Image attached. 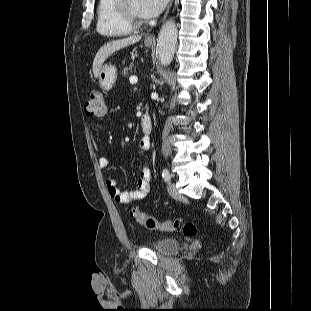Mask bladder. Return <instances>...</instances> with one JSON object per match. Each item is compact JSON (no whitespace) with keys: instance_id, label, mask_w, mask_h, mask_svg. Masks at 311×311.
I'll return each instance as SVG.
<instances>
[{"instance_id":"obj_1","label":"bladder","mask_w":311,"mask_h":311,"mask_svg":"<svg viewBox=\"0 0 311 311\" xmlns=\"http://www.w3.org/2000/svg\"><path fill=\"white\" fill-rule=\"evenodd\" d=\"M180 243L171 237H162L150 244V248L161 254H172L179 249Z\"/></svg>"}]
</instances>
